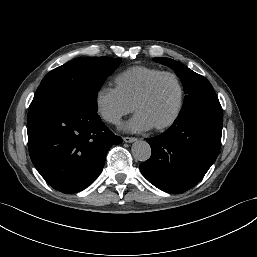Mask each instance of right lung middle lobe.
<instances>
[{"label": "right lung middle lobe", "instance_id": "dd1d6c3e", "mask_svg": "<svg viewBox=\"0 0 257 257\" xmlns=\"http://www.w3.org/2000/svg\"><path fill=\"white\" fill-rule=\"evenodd\" d=\"M120 63L119 58L83 57L57 67L43 78L30 107L67 102L97 112V93Z\"/></svg>", "mask_w": 257, "mask_h": 257}]
</instances>
